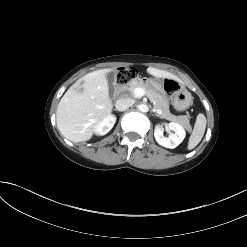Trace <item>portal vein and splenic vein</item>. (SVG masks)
Returning <instances> with one entry per match:
<instances>
[{"instance_id": "1", "label": "portal vein and splenic vein", "mask_w": 247, "mask_h": 247, "mask_svg": "<svg viewBox=\"0 0 247 247\" xmlns=\"http://www.w3.org/2000/svg\"><path fill=\"white\" fill-rule=\"evenodd\" d=\"M133 94L135 97H142L146 94V91L143 89V88H135L134 91H133ZM157 113L158 114H161V111L160 110H157Z\"/></svg>"}]
</instances>
